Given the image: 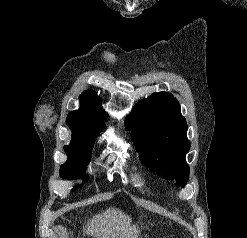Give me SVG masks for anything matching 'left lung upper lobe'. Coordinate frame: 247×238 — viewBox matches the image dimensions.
<instances>
[{
  "label": "left lung upper lobe",
  "mask_w": 247,
  "mask_h": 238,
  "mask_svg": "<svg viewBox=\"0 0 247 238\" xmlns=\"http://www.w3.org/2000/svg\"><path fill=\"white\" fill-rule=\"evenodd\" d=\"M125 125L141 161L184 187L189 178L185 155L190 142L177 99L168 92L153 93L136 104Z\"/></svg>",
  "instance_id": "obj_1"
}]
</instances>
